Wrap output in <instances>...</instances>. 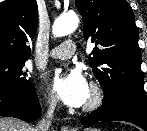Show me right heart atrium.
Wrapping results in <instances>:
<instances>
[{
  "label": "right heart atrium",
  "mask_w": 147,
  "mask_h": 131,
  "mask_svg": "<svg viewBox=\"0 0 147 131\" xmlns=\"http://www.w3.org/2000/svg\"><path fill=\"white\" fill-rule=\"evenodd\" d=\"M45 106L49 112H52L56 107V100L53 96L48 95L45 98Z\"/></svg>",
  "instance_id": "d8ad5b80"
}]
</instances>
